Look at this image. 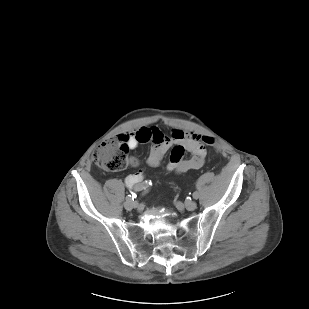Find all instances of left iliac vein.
I'll return each mask as SVG.
<instances>
[{
    "label": "left iliac vein",
    "mask_w": 309,
    "mask_h": 309,
    "mask_svg": "<svg viewBox=\"0 0 309 309\" xmlns=\"http://www.w3.org/2000/svg\"><path fill=\"white\" fill-rule=\"evenodd\" d=\"M180 202H176V206H180ZM185 208L189 211H193L197 208V203L195 201L189 200L185 203Z\"/></svg>",
    "instance_id": "left-iliac-vein-1"
}]
</instances>
